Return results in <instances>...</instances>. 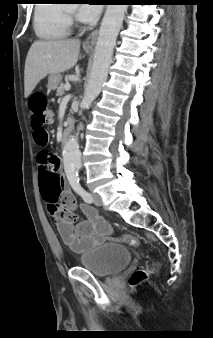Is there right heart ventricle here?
I'll return each instance as SVG.
<instances>
[{
	"instance_id": "obj_1",
	"label": "right heart ventricle",
	"mask_w": 213,
	"mask_h": 338,
	"mask_svg": "<svg viewBox=\"0 0 213 338\" xmlns=\"http://www.w3.org/2000/svg\"><path fill=\"white\" fill-rule=\"evenodd\" d=\"M34 30L44 40H60L69 34L65 8L57 4H36Z\"/></svg>"
}]
</instances>
